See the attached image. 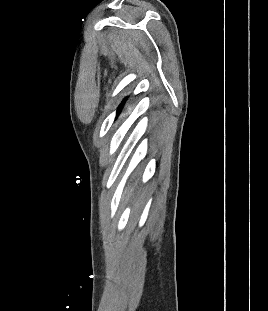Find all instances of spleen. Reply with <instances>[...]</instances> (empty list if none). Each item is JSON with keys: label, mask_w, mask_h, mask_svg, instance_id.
Returning a JSON list of instances; mask_svg holds the SVG:
<instances>
[{"label": "spleen", "mask_w": 268, "mask_h": 311, "mask_svg": "<svg viewBox=\"0 0 268 311\" xmlns=\"http://www.w3.org/2000/svg\"><path fill=\"white\" fill-rule=\"evenodd\" d=\"M131 196V194L128 193V197Z\"/></svg>", "instance_id": "1"}]
</instances>
